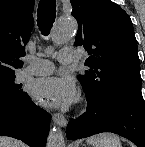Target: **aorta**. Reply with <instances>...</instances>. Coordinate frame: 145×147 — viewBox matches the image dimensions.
<instances>
[{"label":"aorta","mask_w":145,"mask_h":147,"mask_svg":"<svg viewBox=\"0 0 145 147\" xmlns=\"http://www.w3.org/2000/svg\"><path fill=\"white\" fill-rule=\"evenodd\" d=\"M77 24L74 20L61 19L57 22L52 34L55 44L67 42L76 32ZM47 147H65L63 132L58 127H53L48 136Z\"/></svg>","instance_id":"aorta-1"}]
</instances>
